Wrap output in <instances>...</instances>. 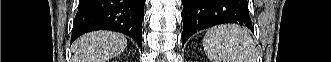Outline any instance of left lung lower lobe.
<instances>
[{
  "instance_id": "left-lung-lower-lobe-1",
  "label": "left lung lower lobe",
  "mask_w": 331,
  "mask_h": 62,
  "mask_svg": "<svg viewBox=\"0 0 331 62\" xmlns=\"http://www.w3.org/2000/svg\"><path fill=\"white\" fill-rule=\"evenodd\" d=\"M182 3V46L197 31L218 24L236 23L253 29L247 0H182Z\"/></svg>"
}]
</instances>
